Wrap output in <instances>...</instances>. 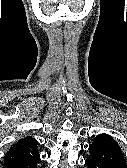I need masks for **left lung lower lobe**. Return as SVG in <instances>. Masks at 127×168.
Here are the masks:
<instances>
[{
  "label": "left lung lower lobe",
  "instance_id": "0a47b994",
  "mask_svg": "<svg viewBox=\"0 0 127 168\" xmlns=\"http://www.w3.org/2000/svg\"><path fill=\"white\" fill-rule=\"evenodd\" d=\"M85 164L90 168H127L118 144L105 137H96L89 146Z\"/></svg>",
  "mask_w": 127,
  "mask_h": 168
}]
</instances>
